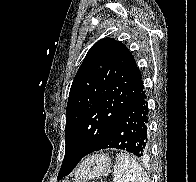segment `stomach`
Returning a JSON list of instances; mask_svg holds the SVG:
<instances>
[{"instance_id":"1","label":"stomach","mask_w":196,"mask_h":182,"mask_svg":"<svg viewBox=\"0 0 196 182\" xmlns=\"http://www.w3.org/2000/svg\"><path fill=\"white\" fill-rule=\"evenodd\" d=\"M111 161L107 155L95 154L85 159L76 172V182H86L102 177L110 169Z\"/></svg>"}]
</instances>
